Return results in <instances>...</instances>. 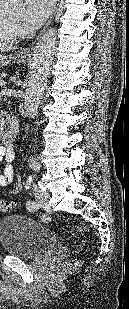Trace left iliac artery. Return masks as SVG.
<instances>
[{
	"mask_svg": "<svg viewBox=\"0 0 129 309\" xmlns=\"http://www.w3.org/2000/svg\"><path fill=\"white\" fill-rule=\"evenodd\" d=\"M31 167H32V169L33 170H35V171H38L39 169H40V164L38 163V162H36V161H33L32 162V164H31ZM27 209L29 210V211H35V210H37L38 208H37V205L34 203V202H28L27 203ZM42 220L43 221H46V220H49V217L47 216V215H43L42 216Z\"/></svg>",
	"mask_w": 129,
	"mask_h": 309,
	"instance_id": "left-iliac-artery-1",
	"label": "left iliac artery"
}]
</instances>
